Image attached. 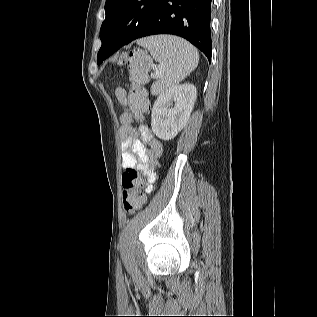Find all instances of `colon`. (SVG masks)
Here are the masks:
<instances>
[{"label":"colon","mask_w":317,"mask_h":317,"mask_svg":"<svg viewBox=\"0 0 317 317\" xmlns=\"http://www.w3.org/2000/svg\"><path fill=\"white\" fill-rule=\"evenodd\" d=\"M119 63L125 65L129 73V81L133 87H140L147 81L150 60L139 51H130L121 56ZM122 199L125 210L129 213L139 211L146 202L141 193L142 180L136 169L128 168L122 175Z\"/></svg>","instance_id":"5ec220e1"}]
</instances>
